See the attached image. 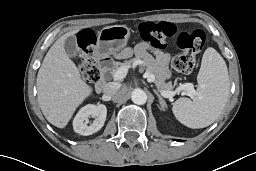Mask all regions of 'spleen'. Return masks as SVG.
Listing matches in <instances>:
<instances>
[{
	"instance_id": "obj_1",
	"label": "spleen",
	"mask_w": 256,
	"mask_h": 171,
	"mask_svg": "<svg viewBox=\"0 0 256 171\" xmlns=\"http://www.w3.org/2000/svg\"><path fill=\"white\" fill-rule=\"evenodd\" d=\"M197 82L193 100L179 98L172 107L176 119L193 129L211 125L228 100L230 83L227 65L214 48L209 47L204 52Z\"/></svg>"
}]
</instances>
